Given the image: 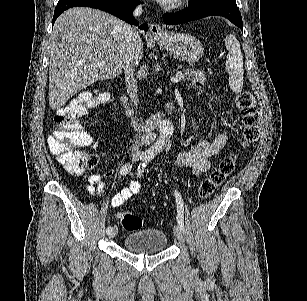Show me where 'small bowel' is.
I'll return each instance as SVG.
<instances>
[{
  "instance_id": "c3829d8e",
  "label": "small bowel",
  "mask_w": 307,
  "mask_h": 301,
  "mask_svg": "<svg viewBox=\"0 0 307 301\" xmlns=\"http://www.w3.org/2000/svg\"><path fill=\"white\" fill-rule=\"evenodd\" d=\"M226 142L227 136L221 133L212 141H200L187 151L179 153L175 161L178 165L191 168L196 175L203 174L211 168L210 158L217 154ZM140 190V183L131 182L129 186L113 196L111 205L113 207L122 206L131 197L138 194ZM86 191L92 197L97 194L100 196L105 194L106 185L102 182L100 174L94 173L89 176Z\"/></svg>"
}]
</instances>
